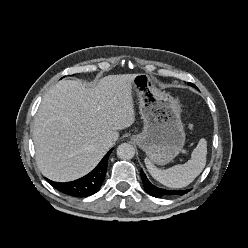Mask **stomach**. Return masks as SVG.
<instances>
[{
	"instance_id": "stomach-1",
	"label": "stomach",
	"mask_w": 248,
	"mask_h": 248,
	"mask_svg": "<svg viewBox=\"0 0 248 248\" xmlns=\"http://www.w3.org/2000/svg\"><path fill=\"white\" fill-rule=\"evenodd\" d=\"M133 89L138 97L142 133L132 140L146 153L147 159L157 165H166L182 150L185 131L181 121V107L168 93L156 88L145 73L136 74Z\"/></svg>"
}]
</instances>
